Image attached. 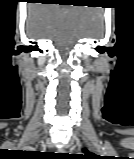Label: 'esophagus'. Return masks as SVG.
<instances>
[{
    "instance_id": "obj_1",
    "label": "esophagus",
    "mask_w": 134,
    "mask_h": 159,
    "mask_svg": "<svg viewBox=\"0 0 134 159\" xmlns=\"http://www.w3.org/2000/svg\"><path fill=\"white\" fill-rule=\"evenodd\" d=\"M59 151H60L61 153H63V152H64V149H59Z\"/></svg>"
}]
</instances>
